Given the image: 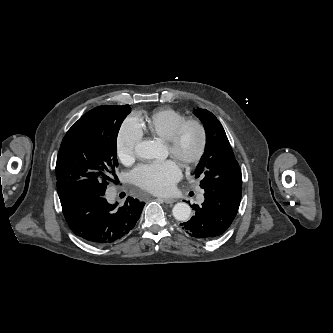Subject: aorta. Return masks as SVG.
<instances>
[{
    "label": "aorta",
    "mask_w": 333,
    "mask_h": 333,
    "mask_svg": "<svg viewBox=\"0 0 333 333\" xmlns=\"http://www.w3.org/2000/svg\"><path fill=\"white\" fill-rule=\"evenodd\" d=\"M135 153L144 159H154L158 154V148L153 141L144 140L135 146ZM173 216L179 221H187L191 215V208L185 202L175 204L172 210Z\"/></svg>",
    "instance_id": "aorta-1"
}]
</instances>
